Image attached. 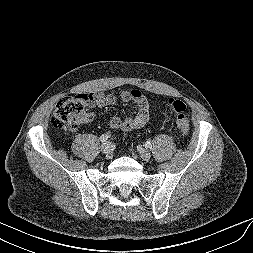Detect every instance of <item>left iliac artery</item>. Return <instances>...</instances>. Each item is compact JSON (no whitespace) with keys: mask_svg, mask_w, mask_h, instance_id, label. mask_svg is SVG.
I'll list each match as a JSON object with an SVG mask.
<instances>
[{"mask_svg":"<svg viewBox=\"0 0 253 253\" xmlns=\"http://www.w3.org/2000/svg\"><path fill=\"white\" fill-rule=\"evenodd\" d=\"M145 147H146L147 149H151V148H152L151 142L147 141V142L145 143Z\"/></svg>","mask_w":253,"mask_h":253,"instance_id":"obj_1","label":"left iliac artery"}]
</instances>
